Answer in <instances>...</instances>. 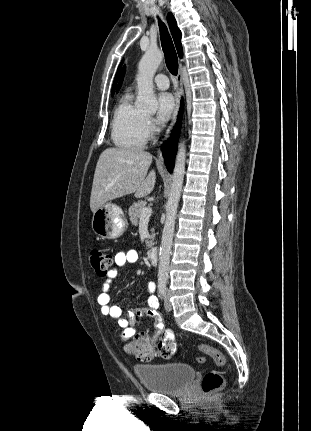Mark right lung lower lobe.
Listing matches in <instances>:
<instances>
[{
	"label": "right lung lower lobe",
	"mask_w": 311,
	"mask_h": 431,
	"mask_svg": "<svg viewBox=\"0 0 311 431\" xmlns=\"http://www.w3.org/2000/svg\"><path fill=\"white\" fill-rule=\"evenodd\" d=\"M182 110H183V99L181 100V108L179 111L178 121L176 123V126L174 127L172 131L171 137L164 143L162 146L163 150V157L165 160L166 167L169 172L172 171L174 167V158L177 151V142L180 132V125H181V116H182Z\"/></svg>",
	"instance_id": "right-lung-lower-lobe-1"
}]
</instances>
